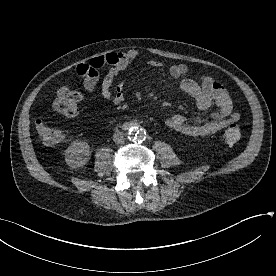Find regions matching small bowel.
Listing matches in <instances>:
<instances>
[{
  "label": "small bowel",
  "mask_w": 276,
  "mask_h": 276,
  "mask_svg": "<svg viewBox=\"0 0 276 276\" xmlns=\"http://www.w3.org/2000/svg\"><path fill=\"white\" fill-rule=\"evenodd\" d=\"M139 56L140 53L136 49L107 53L79 65L76 73L83 79L85 91L93 93L100 82V72L107 69L100 83L101 96L114 104H120L124 100V85L119 83L113 89L114 81ZM147 63L154 68L162 66L158 60H148ZM169 72L174 79L179 80L180 89L195 101L200 110H207L213 105L216 107L214 112L204 117L172 115L166 120V125L169 128L188 136H208L239 120L240 116L234 111L227 90L212 76L202 74L198 80L185 78L184 76L188 72V67L185 64L173 65Z\"/></svg>",
  "instance_id": "1"
}]
</instances>
